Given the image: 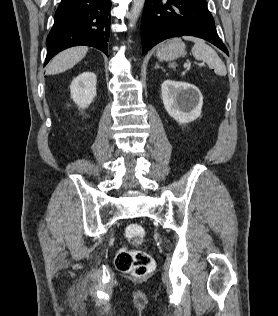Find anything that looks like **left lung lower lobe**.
Segmentation results:
<instances>
[{
	"label": "left lung lower lobe",
	"mask_w": 278,
	"mask_h": 316,
	"mask_svg": "<svg viewBox=\"0 0 278 316\" xmlns=\"http://www.w3.org/2000/svg\"><path fill=\"white\" fill-rule=\"evenodd\" d=\"M179 36L205 39L229 55L206 0H146L141 22L143 54L159 42Z\"/></svg>",
	"instance_id": "obj_1"
}]
</instances>
